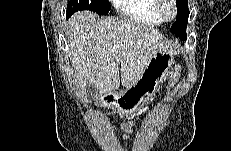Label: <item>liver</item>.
I'll use <instances>...</instances> for the list:
<instances>
[{
  "label": "liver",
  "mask_w": 231,
  "mask_h": 151,
  "mask_svg": "<svg viewBox=\"0 0 231 151\" xmlns=\"http://www.w3.org/2000/svg\"><path fill=\"white\" fill-rule=\"evenodd\" d=\"M66 41L78 86L84 89L92 83L100 96L112 94L120 82L129 88L154 54H172L179 47L137 21L99 18L88 11H79L69 19Z\"/></svg>",
  "instance_id": "6515ba94"
}]
</instances>
